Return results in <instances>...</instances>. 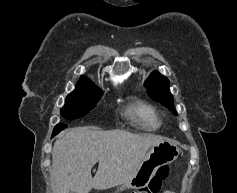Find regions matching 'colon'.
I'll use <instances>...</instances> for the list:
<instances>
[{"label":"colon","mask_w":237,"mask_h":193,"mask_svg":"<svg viewBox=\"0 0 237 193\" xmlns=\"http://www.w3.org/2000/svg\"><path fill=\"white\" fill-rule=\"evenodd\" d=\"M168 174V166L162 165L158 167L156 172L146 185L131 193H159L164 180L168 177Z\"/></svg>","instance_id":"1"}]
</instances>
